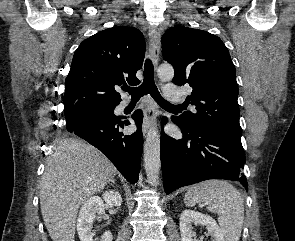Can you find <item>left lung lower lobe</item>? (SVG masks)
<instances>
[{"label":"left lung lower lobe","instance_id":"0a47b994","mask_svg":"<svg viewBox=\"0 0 295 241\" xmlns=\"http://www.w3.org/2000/svg\"><path fill=\"white\" fill-rule=\"evenodd\" d=\"M171 120L180 127L183 138L176 140L161 133L160 158L166 194L208 179L234 180L248 187L242 173L246 158L240 138L204 128L186 129L176 117ZM166 121L163 118L162 123Z\"/></svg>","mask_w":295,"mask_h":241}]
</instances>
